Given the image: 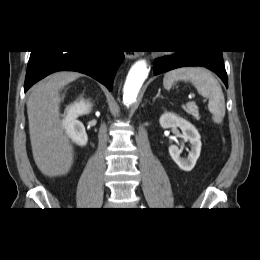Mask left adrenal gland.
Returning a JSON list of instances; mask_svg holds the SVG:
<instances>
[{"label": "left adrenal gland", "mask_w": 260, "mask_h": 260, "mask_svg": "<svg viewBox=\"0 0 260 260\" xmlns=\"http://www.w3.org/2000/svg\"><path fill=\"white\" fill-rule=\"evenodd\" d=\"M160 92H161V89L158 90V93H157V95L153 98V101H155L158 97H161V98H162V96L160 95Z\"/></svg>", "instance_id": "obj_1"}]
</instances>
